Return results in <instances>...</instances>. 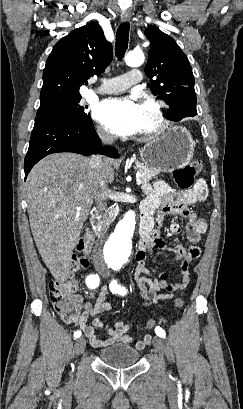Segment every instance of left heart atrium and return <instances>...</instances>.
<instances>
[{
	"label": "left heart atrium",
	"mask_w": 243,
	"mask_h": 409,
	"mask_svg": "<svg viewBox=\"0 0 243 409\" xmlns=\"http://www.w3.org/2000/svg\"><path fill=\"white\" fill-rule=\"evenodd\" d=\"M94 115L113 134L127 136L138 132L139 104L133 99L106 100L96 108Z\"/></svg>",
	"instance_id": "39dd6f15"
}]
</instances>
